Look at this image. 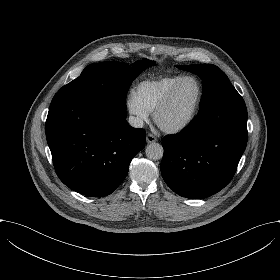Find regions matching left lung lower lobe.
Instances as JSON below:
<instances>
[{
  "label": "left lung lower lobe",
  "instance_id": "1",
  "mask_svg": "<svg viewBox=\"0 0 280 280\" xmlns=\"http://www.w3.org/2000/svg\"><path fill=\"white\" fill-rule=\"evenodd\" d=\"M247 144V109L238 94L199 111L180 133L162 139L161 173L178 195L202 199L223 189Z\"/></svg>",
  "mask_w": 280,
  "mask_h": 280
}]
</instances>
